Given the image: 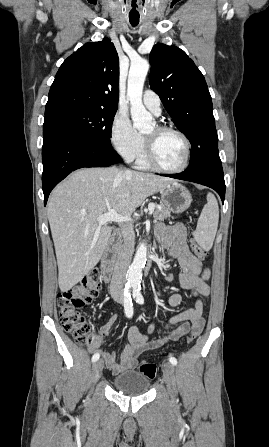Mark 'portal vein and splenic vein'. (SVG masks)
<instances>
[{
	"label": "portal vein and splenic vein",
	"mask_w": 269,
	"mask_h": 447,
	"mask_svg": "<svg viewBox=\"0 0 269 447\" xmlns=\"http://www.w3.org/2000/svg\"><path fill=\"white\" fill-rule=\"evenodd\" d=\"M147 209L149 214H153V211L156 209L155 203L149 202ZM131 220L132 218H129V216H119L116 210H109L107 214H103V216L97 218L98 224H106V222H131Z\"/></svg>",
	"instance_id": "1"
}]
</instances>
